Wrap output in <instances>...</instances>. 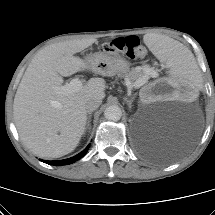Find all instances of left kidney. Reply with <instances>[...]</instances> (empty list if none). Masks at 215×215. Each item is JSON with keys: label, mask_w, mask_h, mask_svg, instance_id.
Wrapping results in <instances>:
<instances>
[{"label": "left kidney", "mask_w": 215, "mask_h": 215, "mask_svg": "<svg viewBox=\"0 0 215 215\" xmlns=\"http://www.w3.org/2000/svg\"><path fill=\"white\" fill-rule=\"evenodd\" d=\"M142 98L147 103L165 98L191 102L198 98V91L194 84L180 80L178 77L161 75L159 83H150L144 88Z\"/></svg>", "instance_id": "1"}]
</instances>
